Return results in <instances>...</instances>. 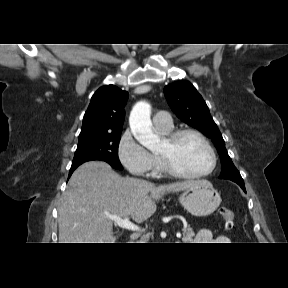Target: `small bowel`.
Here are the masks:
<instances>
[{"label": "small bowel", "mask_w": 288, "mask_h": 288, "mask_svg": "<svg viewBox=\"0 0 288 288\" xmlns=\"http://www.w3.org/2000/svg\"><path fill=\"white\" fill-rule=\"evenodd\" d=\"M195 241L197 243H229L230 240L225 235L213 236L209 229H201L196 235Z\"/></svg>", "instance_id": "small-bowel-1"}]
</instances>
